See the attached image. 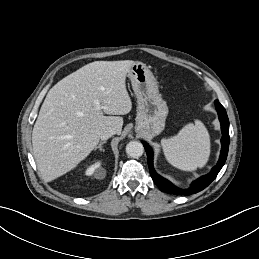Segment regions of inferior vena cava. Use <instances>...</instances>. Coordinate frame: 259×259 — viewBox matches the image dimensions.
<instances>
[{
	"label": "inferior vena cava",
	"mask_w": 259,
	"mask_h": 259,
	"mask_svg": "<svg viewBox=\"0 0 259 259\" xmlns=\"http://www.w3.org/2000/svg\"><path fill=\"white\" fill-rule=\"evenodd\" d=\"M114 134H116V132L113 129H107L101 134L100 138L101 140H107Z\"/></svg>",
	"instance_id": "602c4592"
}]
</instances>
